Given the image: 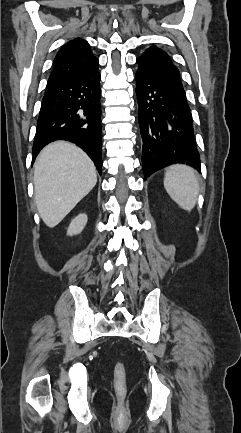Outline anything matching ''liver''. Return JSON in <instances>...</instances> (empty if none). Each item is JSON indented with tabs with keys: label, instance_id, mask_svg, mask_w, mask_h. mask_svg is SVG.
Masks as SVG:
<instances>
[{
	"label": "liver",
	"instance_id": "1",
	"mask_svg": "<svg viewBox=\"0 0 241 433\" xmlns=\"http://www.w3.org/2000/svg\"><path fill=\"white\" fill-rule=\"evenodd\" d=\"M96 182L95 166L82 149L64 141L47 145L34 164L35 202L43 222L58 225Z\"/></svg>",
	"mask_w": 241,
	"mask_h": 433
}]
</instances>
